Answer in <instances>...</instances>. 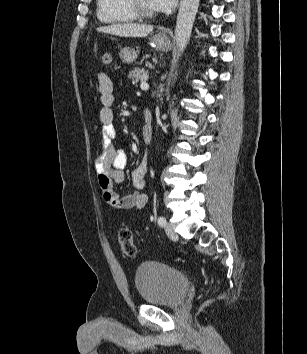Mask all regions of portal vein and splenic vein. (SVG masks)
<instances>
[{"instance_id": "obj_1", "label": "portal vein and splenic vein", "mask_w": 307, "mask_h": 354, "mask_svg": "<svg viewBox=\"0 0 307 354\" xmlns=\"http://www.w3.org/2000/svg\"><path fill=\"white\" fill-rule=\"evenodd\" d=\"M140 88L142 90H147L149 88V85L146 83V81H142L141 85H140Z\"/></svg>"}]
</instances>
